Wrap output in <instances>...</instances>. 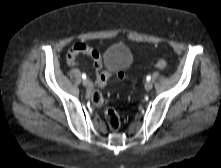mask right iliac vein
<instances>
[{"instance_id":"obj_1","label":"right iliac vein","mask_w":221,"mask_h":168,"mask_svg":"<svg viewBox=\"0 0 221 168\" xmlns=\"http://www.w3.org/2000/svg\"><path fill=\"white\" fill-rule=\"evenodd\" d=\"M83 85H84V87H86V88H92V86H93L92 82H91L89 79H85V80L83 81Z\"/></svg>"}]
</instances>
